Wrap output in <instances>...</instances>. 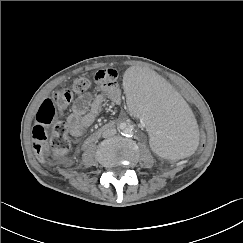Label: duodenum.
<instances>
[{"label":"duodenum","instance_id":"obj_1","mask_svg":"<svg viewBox=\"0 0 243 243\" xmlns=\"http://www.w3.org/2000/svg\"><path fill=\"white\" fill-rule=\"evenodd\" d=\"M107 127H102L100 129H98L97 131H95L93 134H91L84 142V146H88L92 141H94L95 139L99 138L102 133L106 130Z\"/></svg>","mask_w":243,"mask_h":243}]
</instances>
